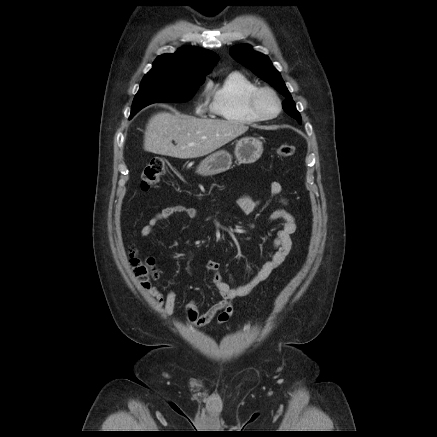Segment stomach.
Here are the masks:
<instances>
[{
  "label": "stomach",
  "instance_id": "0dacf381",
  "mask_svg": "<svg viewBox=\"0 0 437 437\" xmlns=\"http://www.w3.org/2000/svg\"><path fill=\"white\" fill-rule=\"evenodd\" d=\"M263 153V143L253 137H245L237 141L234 154L243 164L257 161ZM232 165V156L225 150L217 151L206 157L197 167L196 173L201 176H212L227 171Z\"/></svg>",
  "mask_w": 437,
  "mask_h": 437
}]
</instances>
